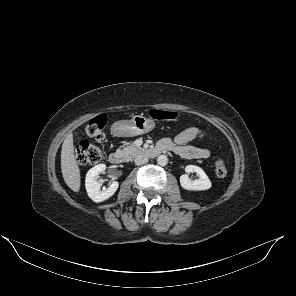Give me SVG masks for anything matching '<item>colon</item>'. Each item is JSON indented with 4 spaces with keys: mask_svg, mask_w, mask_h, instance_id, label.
Segmentation results:
<instances>
[{
    "mask_svg": "<svg viewBox=\"0 0 296 296\" xmlns=\"http://www.w3.org/2000/svg\"><path fill=\"white\" fill-rule=\"evenodd\" d=\"M149 115L156 120H166L173 121L178 118V114L174 111L152 109L149 112ZM106 117L104 115H99L92 119L87 128L86 134L98 141L102 142L104 140V128L106 125ZM76 161L80 165H94L101 161L102 151L99 147L90 144L87 141H80L75 145L74 148ZM215 174L222 178L227 174V167L225 162L218 158L214 162Z\"/></svg>",
    "mask_w": 296,
    "mask_h": 296,
    "instance_id": "1",
    "label": "colon"
}]
</instances>
